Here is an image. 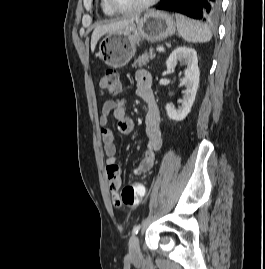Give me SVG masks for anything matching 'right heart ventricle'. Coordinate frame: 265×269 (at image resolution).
Here are the masks:
<instances>
[{
	"label": "right heart ventricle",
	"mask_w": 265,
	"mask_h": 269,
	"mask_svg": "<svg viewBox=\"0 0 265 269\" xmlns=\"http://www.w3.org/2000/svg\"><path fill=\"white\" fill-rule=\"evenodd\" d=\"M100 5H101L102 11L106 15L112 16L117 13L110 7L108 0H100Z\"/></svg>",
	"instance_id": "right-heart-ventricle-1"
}]
</instances>
